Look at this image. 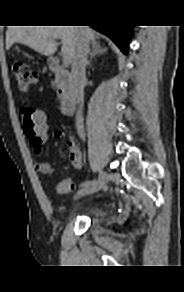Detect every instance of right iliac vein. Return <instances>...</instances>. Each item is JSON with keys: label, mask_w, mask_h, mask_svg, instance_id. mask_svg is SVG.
Wrapping results in <instances>:
<instances>
[{"label": "right iliac vein", "mask_w": 184, "mask_h": 292, "mask_svg": "<svg viewBox=\"0 0 184 292\" xmlns=\"http://www.w3.org/2000/svg\"><path fill=\"white\" fill-rule=\"evenodd\" d=\"M108 178H109V175L106 172L101 171L98 177L99 182H97L96 180L94 187L89 186V187H86L85 189L80 190L77 194V197H82V196H86L94 192H97L106 184Z\"/></svg>", "instance_id": "63e3f726"}]
</instances>
